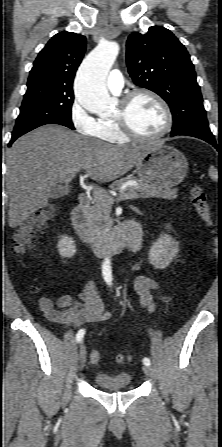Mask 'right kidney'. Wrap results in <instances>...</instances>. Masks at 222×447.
Segmentation results:
<instances>
[{"label": "right kidney", "instance_id": "right-kidney-1", "mask_svg": "<svg viewBox=\"0 0 222 447\" xmlns=\"http://www.w3.org/2000/svg\"><path fill=\"white\" fill-rule=\"evenodd\" d=\"M57 247L59 254L61 255V257L64 258H71L76 253L75 241L67 235L61 236L60 240L58 241Z\"/></svg>", "mask_w": 222, "mask_h": 447}]
</instances>
